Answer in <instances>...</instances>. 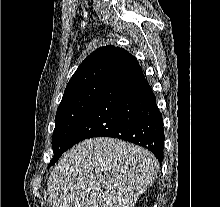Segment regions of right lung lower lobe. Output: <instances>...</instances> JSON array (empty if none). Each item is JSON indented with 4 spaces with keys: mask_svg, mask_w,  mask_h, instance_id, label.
Masks as SVG:
<instances>
[{
    "mask_svg": "<svg viewBox=\"0 0 220 207\" xmlns=\"http://www.w3.org/2000/svg\"><path fill=\"white\" fill-rule=\"evenodd\" d=\"M122 139L150 150L163 160V119L139 63L108 77L69 146L92 137ZM67 149V150H68Z\"/></svg>",
    "mask_w": 220,
    "mask_h": 207,
    "instance_id": "obj_1",
    "label": "right lung lower lobe"
}]
</instances>
